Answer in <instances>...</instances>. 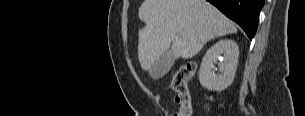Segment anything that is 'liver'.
I'll return each mask as SVG.
<instances>
[{"label":"liver","instance_id":"obj_1","mask_svg":"<svg viewBox=\"0 0 305 116\" xmlns=\"http://www.w3.org/2000/svg\"><path fill=\"white\" fill-rule=\"evenodd\" d=\"M138 15L146 24L138 34V59L145 71L170 46L175 58L189 59L209 40L237 32L206 0H145Z\"/></svg>","mask_w":305,"mask_h":116}]
</instances>
